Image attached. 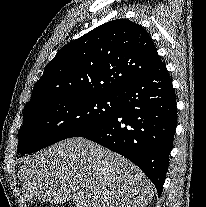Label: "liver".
<instances>
[{"label": "liver", "mask_w": 206, "mask_h": 207, "mask_svg": "<svg viewBox=\"0 0 206 207\" xmlns=\"http://www.w3.org/2000/svg\"><path fill=\"white\" fill-rule=\"evenodd\" d=\"M18 177L30 204L40 200L72 201L75 207H145L154 194L136 165L81 137L26 157Z\"/></svg>", "instance_id": "6515ba94"}]
</instances>
